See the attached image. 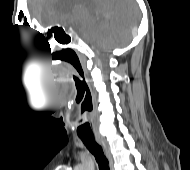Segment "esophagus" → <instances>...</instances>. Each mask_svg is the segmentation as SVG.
Instances as JSON below:
<instances>
[{
	"instance_id": "esophagus-1",
	"label": "esophagus",
	"mask_w": 190,
	"mask_h": 170,
	"mask_svg": "<svg viewBox=\"0 0 190 170\" xmlns=\"http://www.w3.org/2000/svg\"><path fill=\"white\" fill-rule=\"evenodd\" d=\"M95 139H96L97 143L101 145V147L103 148V150L105 152V155H106V157H107V159L109 161L110 170H113V158H112V155L110 153V150H109L106 142L99 135L95 136Z\"/></svg>"
}]
</instances>
